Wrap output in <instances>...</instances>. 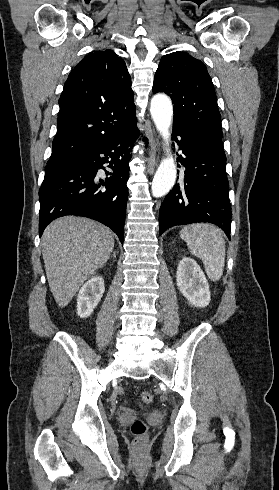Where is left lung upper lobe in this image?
Masks as SVG:
<instances>
[{
	"mask_svg": "<svg viewBox=\"0 0 279 490\" xmlns=\"http://www.w3.org/2000/svg\"><path fill=\"white\" fill-rule=\"evenodd\" d=\"M153 92H165L174 103V122L222 139L217 96L206 66L198 59L173 52L162 57Z\"/></svg>",
	"mask_w": 279,
	"mask_h": 490,
	"instance_id": "left-lung-upper-lobe-1",
	"label": "left lung upper lobe"
}]
</instances>
